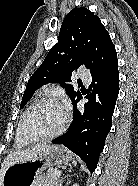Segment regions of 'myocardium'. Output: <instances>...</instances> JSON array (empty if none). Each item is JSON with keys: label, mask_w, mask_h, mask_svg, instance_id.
<instances>
[{"label": "myocardium", "mask_w": 138, "mask_h": 186, "mask_svg": "<svg viewBox=\"0 0 138 186\" xmlns=\"http://www.w3.org/2000/svg\"><path fill=\"white\" fill-rule=\"evenodd\" d=\"M58 105L60 107H62L65 110V120L64 123L62 125V127L50 134V135H46V136H40V137H36V136H32L30 134L27 133L26 129H25V122L26 119L28 118V116L37 108L41 107V106H45V105ZM70 122V114L69 112L64 108V106L55 98H51V97H47V98H43L40 101L34 103L32 106H30L22 115L21 120H20V134L23 137V139H25L28 142H41V141H48V140H52L58 136H60L61 134H63Z\"/></svg>", "instance_id": "obj_1"}]
</instances>
